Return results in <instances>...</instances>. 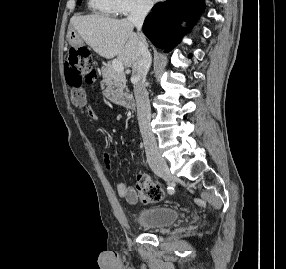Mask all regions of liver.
<instances>
[{"label": "liver", "mask_w": 286, "mask_h": 269, "mask_svg": "<svg viewBox=\"0 0 286 269\" xmlns=\"http://www.w3.org/2000/svg\"><path fill=\"white\" fill-rule=\"evenodd\" d=\"M70 27L100 56H117L126 67H133L139 57L138 35L127 19H113L101 15H74Z\"/></svg>", "instance_id": "6515ba94"}]
</instances>
